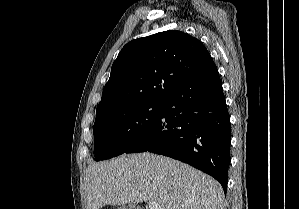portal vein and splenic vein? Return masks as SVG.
<instances>
[{
    "label": "portal vein and splenic vein",
    "instance_id": "18ae733b",
    "mask_svg": "<svg viewBox=\"0 0 299 209\" xmlns=\"http://www.w3.org/2000/svg\"><path fill=\"white\" fill-rule=\"evenodd\" d=\"M149 208L150 209H161L160 206L156 202H149Z\"/></svg>",
    "mask_w": 299,
    "mask_h": 209
}]
</instances>
